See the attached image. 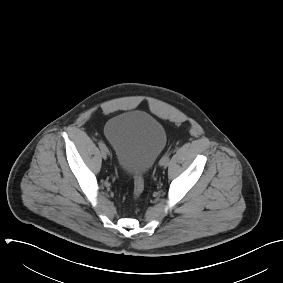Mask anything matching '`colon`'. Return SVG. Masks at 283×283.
I'll return each mask as SVG.
<instances>
[{"mask_svg": "<svg viewBox=\"0 0 283 283\" xmlns=\"http://www.w3.org/2000/svg\"><path fill=\"white\" fill-rule=\"evenodd\" d=\"M144 190V179L141 174H136L134 177V191L133 195L134 198L137 199L140 197Z\"/></svg>", "mask_w": 283, "mask_h": 283, "instance_id": "obj_1", "label": "colon"}]
</instances>
